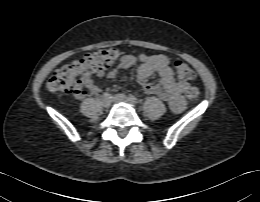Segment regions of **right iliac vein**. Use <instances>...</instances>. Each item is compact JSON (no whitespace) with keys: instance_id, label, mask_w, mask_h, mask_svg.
<instances>
[{"instance_id":"1","label":"right iliac vein","mask_w":260,"mask_h":202,"mask_svg":"<svg viewBox=\"0 0 260 202\" xmlns=\"http://www.w3.org/2000/svg\"><path fill=\"white\" fill-rule=\"evenodd\" d=\"M111 102V99L104 97L102 100V106L105 108H109L111 106Z\"/></svg>"}]
</instances>
